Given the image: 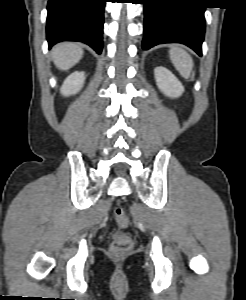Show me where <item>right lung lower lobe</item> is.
Segmentation results:
<instances>
[{
	"instance_id": "obj_1",
	"label": "right lung lower lobe",
	"mask_w": 246,
	"mask_h": 300,
	"mask_svg": "<svg viewBox=\"0 0 246 300\" xmlns=\"http://www.w3.org/2000/svg\"><path fill=\"white\" fill-rule=\"evenodd\" d=\"M106 0H49L47 40L49 47L60 41L88 44L102 51L103 17Z\"/></svg>"
}]
</instances>
